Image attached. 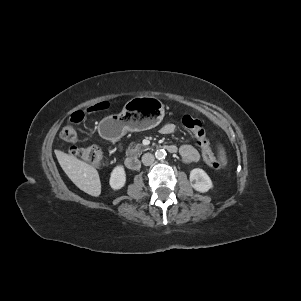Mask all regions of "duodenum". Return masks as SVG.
<instances>
[{"label": "duodenum", "mask_w": 301, "mask_h": 301, "mask_svg": "<svg viewBox=\"0 0 301 301\" xmlns=\"http://www.w3.org/2000/svg\"><path fill=\"white\" fill-rule=\"evenodd\" d=\"M162 147L170 153L177 152V147L174 145H163ZM124 164L129 170H137L139 168V161L132 156L127 157L124 161Z\"/></svg>", "instance_id": "duodenum-1"}]
</instances>
